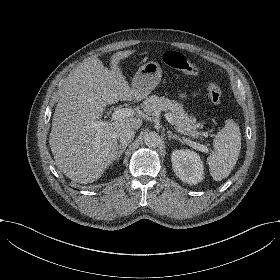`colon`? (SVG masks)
<instances>
[{
	"label": "colon",
	"mask_w": 280,
	"mask_h": 280,
	"mask_svg": "<svg viewBox=\"0 0 280 280\" xmlns=\"http://www.w3.org/2000/svg\"><path fill=\"white\" fill-rule=\"evenodd\" d=\"M163 60L167 64H172V66L176 69L195 73V69L191 62L181 55H176V53L173 51L165 52L163 55ZM208 95L213 103L220 104L222 102V91L215 83H210L208 85Z\"/></svg>",
	"instance_id": "1"
}]
</instances>
